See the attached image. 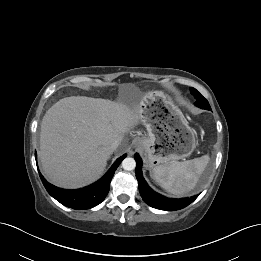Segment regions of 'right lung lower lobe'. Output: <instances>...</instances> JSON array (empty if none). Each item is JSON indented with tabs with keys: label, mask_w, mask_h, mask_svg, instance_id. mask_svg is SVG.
I'll return each mask as SVG.
<instances>
[{
	"label": "right lung lower lobe",
	"mask_w": 261,
	"mask_h": 261,
	"mask_svg": "<svg viewBox=\"0 0 261 261\" xmlns=\"http://www.w3.org/2000/svg\"><path fill=\"white\" fill-rule=\"evenodd\" d=\"M126 155L121 156L112 165L110 170L96 183L77 190H65L48 183L41 173L40 178L48 193L64 206L73 209H90L100 204L107 196L111 179Z\"/></svg>",
	"instance_id": "1"
}]
</instances>
